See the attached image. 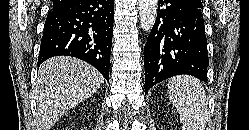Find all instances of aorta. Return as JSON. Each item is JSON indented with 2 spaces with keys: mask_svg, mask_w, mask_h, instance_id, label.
Returning <instances> with one entry per match:
<instances>
[{
  "mask_svg": "<svg viewBox=\"0 0 249 130\" xmlns=\"http://www.w3.org/2000/svg\"><path fill=\"white\" fill-rule=\"evenodd\" d=\"M138 6L141 28L150 32L157 16L158 0H139Z\"/></svg>",
  "mask_w": 249,
  "mask_h": 130,
  "instance_id": "aorta-1",
  "label": "aorta"
}]
</instances>
